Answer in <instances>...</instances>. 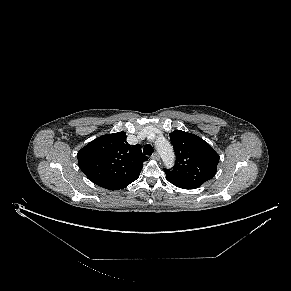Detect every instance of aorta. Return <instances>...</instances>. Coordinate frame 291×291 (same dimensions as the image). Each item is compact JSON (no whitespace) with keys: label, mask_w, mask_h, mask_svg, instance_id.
<instances>
[{"label":"aorta","mask_w":291,"mask_h":291,"mask_svg":"<svg viewBox=\"0 0 291 291\" xmlns=\"http://www.w3.org/2000/svg\"><path fill=\"white\" fill-rule=\"evenodd\" d=\"M155 146L166 167H171L175 158L171 144L166 139L160 138L156 141Z\"/></svg>","instance_id":"aorta-1"}]
</instances>
